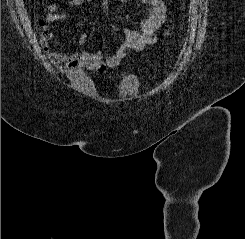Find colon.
I'll return each instance as SVG.
<instances>
[{
    "label": "colon",
    "instance_id": "obj_1",
    "mask_svg": "<svg viewBox=\"0 0 245 239\" xmlns=\"http://www.w3.org/2000/svg\"><path fill=\"white\" fill-rule=\"evenodd\" d=\"M40 25H41V33H40L41 40L42 42H47L52 37V32L50 28L45 26V23L43 21L40 22Z\"/></svg>",
    "mask_w": 245,
    "mask_h": 239
}]
</instances>
